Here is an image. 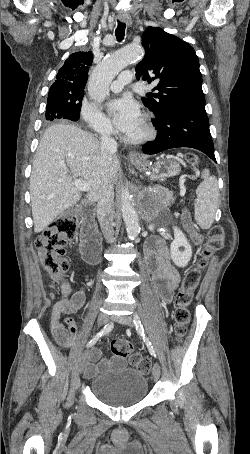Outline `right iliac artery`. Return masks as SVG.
<instances>
[{"label":"right iliac artery","instance_id":"1","mask_svg":"<svg viewBox=\"0 0 250 454\" xmlns=\"http://www.w3.org/2000/svg\"><path fill=\"white\" fill-rule=\"evenodd\" d=\"M113 329V323L110 322L108 323L107 325L104 326V328L98 332L89 342L88 344L86 345L87 347H91L93 346L94 344H96V342L99 340L100 337H102L103 335L109 333L111 330Z\"/></svg>","mask_w":250,"mask_h":454}]
</instances>
